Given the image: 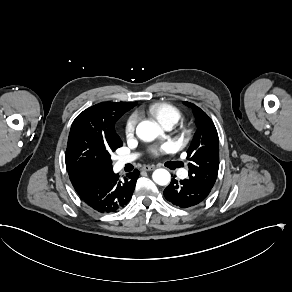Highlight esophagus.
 I'll use <instances>...</instances> for the list:
<instances>
[{"label": "esophagus", "instance_id": "1", "mask_svg": "<svg viewBox=\"0 0 292 292\" xmlns=\"http://www.w3.org/2000/svg\"><path fill=\"white\" fill-rule=\"evenodd\" d=\"M142 169L145 170V171H152V170L155 169V166H152V165H144L142 167Z\"/></svg>", "mask_w": 292, "mask_h": 292}]
</instances>
